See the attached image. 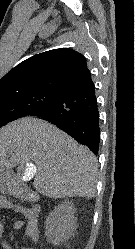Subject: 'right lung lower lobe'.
Here are the masks:
<instances>
[{
  "label": "right lung lower lobe",
  "mask_w": 135,
  "mask_h": 249,
  "mask_svg": "<svg viewBox=\"0 0 135 249\" xmlns=\"http://www.w3.org/2000/svg\"><path fill=\"white\" fill-rule=\"evenodd\" d=\"M29 115L55 124L98 154L100 120L93 82L62 92L56 99Z\"/></svg>",
  "instance_id": "right-lung-lower-lobe-1"
}]
</instances>
